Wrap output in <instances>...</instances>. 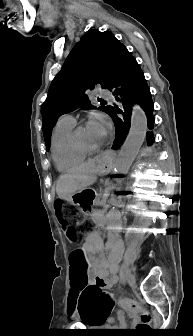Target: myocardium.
<instances>
[{
    "label": "myocardium",
    "mask_w": 193,
    "mask_h": 336,
    "mask_svg": "<svg viewBox=\"0 0 193 336\" xmlns=\"http://www.w3.org/2000/svg\"><path fill=\"white\" fill-rule=\"evenodd\" d=\"M84 125H80L78 126L72 133V140L74 145L81 150L82 152L86 153V154H93L96 153L98 151H100V149L102 148L103 144L100 143L99 145L96 146H88L86 144H84L78 137V133L79 131L84 128Z\"/></svg>",
    "instance_id": "myocardium-1"
}]
</instances>
